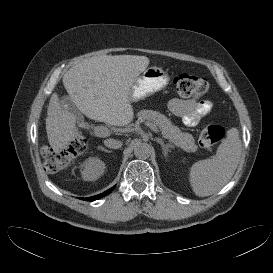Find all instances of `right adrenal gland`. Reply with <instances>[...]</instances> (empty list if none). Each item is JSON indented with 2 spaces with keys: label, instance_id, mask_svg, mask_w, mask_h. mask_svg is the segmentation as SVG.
<instances>
[{
  "label": "right adrenal gland",
  "instance_id": "obj_1",
  "mask_svg": "<svg viewBox=\"0 0 273 273\" xmlns=\"http://www.w3.org/2000/svg\"><path fill=\"white\" fill-rule=\"evenodd\" d=\"M98 149H99V150H102V151H104V152H107V153H111V152H112L111 150H107V149H105L104 147H99Z\"/></svg>",
  "mask_w": 273,
  "mask_h": 273
}]
</instances>
